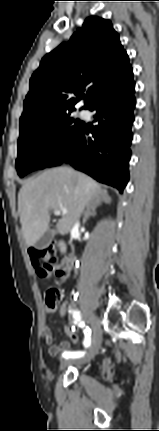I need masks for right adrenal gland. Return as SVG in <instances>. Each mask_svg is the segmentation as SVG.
Returning a JSON list of instances; mask_svg holds the SVG:
<instances>
[{"label": "right adrenal gland", "mask_w": 159, "mask_h": 431, "mask_svg": "<svg viewBox=\"0 0 159 431\" xmlns=\"http://www.w3.org/2000/svg\"><path fill=\"white\" fill-rule=\"evenodd\" d=\"M102 203H111V198L108 196L107 193H102L100 196H98L90 205L87 207V211L85 212L83 223H85L90 216L95 215L96 208L102 204Z\"/></svg>", "instance_id": "obj_1"}]
</instances>
